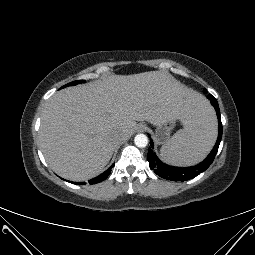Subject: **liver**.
Returning a JSON list of instances; mask_svg holds the SVG:
<instances>
[{
  "label": "liver",
  "instance_id": "1",
  "mask_svg": "<svg viewBox=\"0 0 255 255\" xmlns=\"http://www.w3.org/2000/svg\"><path fill=\"white\" fill-rule=\"evenodd\" d=\"M207 101L164 71L111 75L63 89L45 104L39 130L49 166L61 177L84 181L109 163L117 144L129 138L136 121L158 125L167 118L185 126ZM120 132L123 139L116 140Z\"/></svg>",
  "mask_w": 255,
  "mask_h": 255
}]
</instances>
